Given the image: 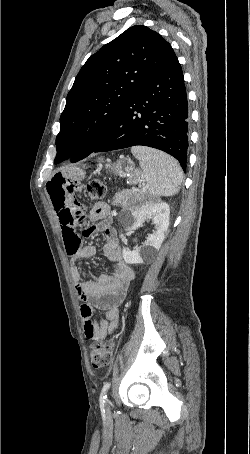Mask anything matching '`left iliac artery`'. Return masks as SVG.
Listing matches in <instances>:
<instances>
[{
    "label": "left iliac artery",
    "instance_id": "left-iliac-artery-1",
    "mask_svg": "<svg viewBox=\"0 0 250 454\" xmlns=\"http://www.w3.org/2000/svg\"><path fill=\"white\" fill-rule=\"evenodd\" d=\"M110 385L111 384L109 382L105 383L103 388H102V390H101V394H100V398H99V401H100L101 404H104L105 401H106V398H107L106 393L108 392V390L110 388Z\"/></svg>",
    "mask_w": 250,
    "mask_h": 454
}]
</instances>
